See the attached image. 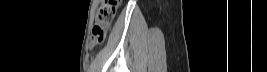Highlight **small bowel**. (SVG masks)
<instances>
[{"instance_id":"small-bowel-1","label":"small bowel","mask_w":267,"mask_h":72,"mask_svg":"<svg viewBox=\"0 0 267 72\" xmlns=\"http://www.w3.org/2000/svg\"><path fill=\"white\" fill-rule=\"evenodd\" d=\"M90 46H91V47H94V46H96V43H94V42L91 40V42H90Z\"/></svg>"}]
</instances>
